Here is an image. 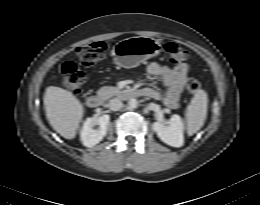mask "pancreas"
Returning <instances> with one entry per match:
<instances>
[{"instance_id": "1", "label": "pancreas", "mask_w": 260, "mask_h": 205, "mask_svg": "<svg viewBox=\"0 0 260 205\" xmlns=\"http://www.w3.org/2000/svg\"><path fill=\"white\" fill-rule=\"evenodd\" d=\"M119 93H120V89L118 87H113V86H104L97 91V95L105 100Z\"/></svg>"}]
</instances>
